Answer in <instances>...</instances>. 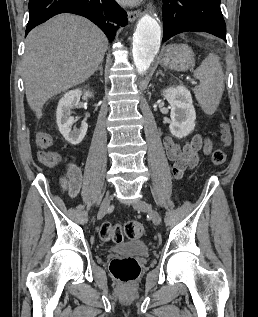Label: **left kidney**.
<instances>
[{
    "label": "left kidney",
    "instance_id": "1",
    "mask_svg": "<svg viewBox=\"0 0 258 317\" xmlns=\"http://www.w3.org/2000/svg\"><path fill=\"white\" fill-rule=\"evenodd\" d=\"M164 98L168 100L170 108L171 122L169 130L174 136L183 138L194 130L196 112L190 90L186 86H169L162 92Z\"/></svg>",
    "mask_w": 258,
    "mask_h": 317
}]
</instances>
